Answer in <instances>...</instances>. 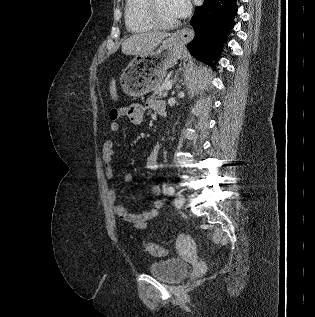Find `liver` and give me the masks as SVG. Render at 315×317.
<instances>
[{
  "mask_svg": "<svg viewBox=\"0 0 315 317\" xmlns=\"http://www.w3.org/2000/svg\"><path fill=\"white\" fill-rule=\"evenodd\" d=\"M170 36L165 32H146L134 34L122 42V52L126 55L145 56L154 51V49L166 38Z\"/></svg>",
  "mask_w": 315,
  "mask_h": 317,
  "instance_id": "1",
  "label": "liver"
}]
</instances>
